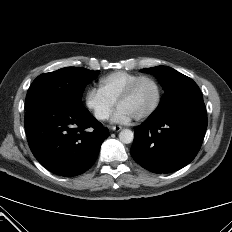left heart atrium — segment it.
Segmentation results:
<instances>
[{
    "label": "left heart atrium",
    "mask_w": 232,
    "mask_h": 232,
    "mask_svg": "<svg viewBox=\"0 0 232 232\" xmlns=\"http://www.w3.org/2000/svg\"><path fill=\"white\" fill-rule=\"evenodd\" d=\"M134 117L125 109L118 107V109L115 111L112 122L113 123H119V124H127L129 123Z\"/></svg>",
    "instance_id": "1"
}]
</instances>
